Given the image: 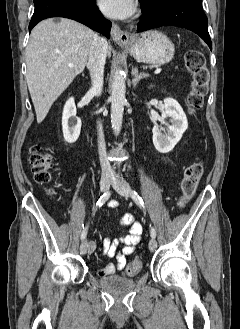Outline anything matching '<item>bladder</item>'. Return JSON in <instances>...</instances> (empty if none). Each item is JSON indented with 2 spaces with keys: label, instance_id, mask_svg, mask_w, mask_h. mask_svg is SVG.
Masks as SVG:
<instances>
[{
  "label": "bladder",
  "instance_id": "1",
  "mask_svg": "<svg viewBox=\"0 0 240 329\" xmlns=\"http://www.w3.org/2000/svg\"><path fill=\"white\" fill-rule=\"evenodd\" d=\"M99 283L102 288L115 293L123 292L135 286L136 280L133 277L112 275L101 278Z\"/></svg>",
  "mask_w": 240,
  "mask_h": 329
}]
</instances>
